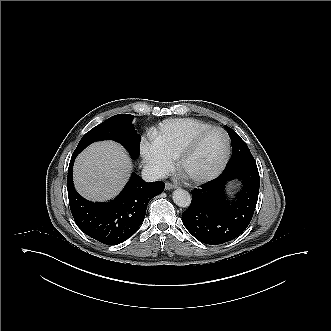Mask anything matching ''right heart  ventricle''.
Segmentation results:
<instances>
[{"mask_svg": "<svg viewBox=\"0 0 331 331\" xmlns=\"http://www.w3.org/2000/svg\"><path fill=\"white\" fill-rule=\"evenodd\" d=\"M209 127H211L209 123L198 119H169L160 124L152 143L174 157L180 153L192 136Z\"/></svg>", "mask_w": 331, "mask_h": 331, "instance_id": "1", "label": "right heart ventricle"}]
</instances>
